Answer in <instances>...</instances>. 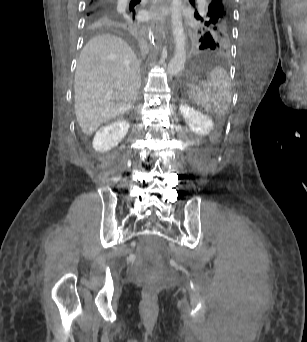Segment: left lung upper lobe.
I'll use <instances>...</instances> for the list:
<instances>
[{"instance_id": "5c2ea615", "label": "left lung upper lobe", "mask_w": 307, "mask_h": 342, "mask_svg": "<svg viewBox=\"0 0 307 342\" xmlns=\"http://www.w3.org/2000/svg\"><path fill=\"white\" fill-rule=\"evenodd\" d=\"M202 16L198 20L194 41L199 50L225 54L229 50L232 33V9L228 0H207ZM195 4L194 0H190Z\"/></svg>"}]
</instances>
